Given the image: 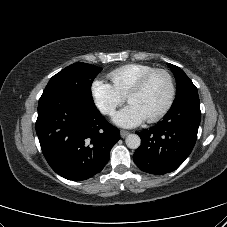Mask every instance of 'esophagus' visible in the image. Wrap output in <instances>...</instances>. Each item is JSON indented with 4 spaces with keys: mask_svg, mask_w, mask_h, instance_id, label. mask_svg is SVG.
<instances>
[{
    "mask_svg": "<svg viewBox=\"0 0 227 227\" xmlns=\"http://www.w3.org/2000/svg\"><path fill=\"white\" fill-rule=\"evenodd\" d=\"M128 134H129V132L126 131V130H121L120 131V135H121L122 138H125Z\"/></svg>",
    "mask_w": 227,
    "mask_h": 227,
    "instance_id": "34e87169",
    "label": "esophagus"
}]
</instances>
